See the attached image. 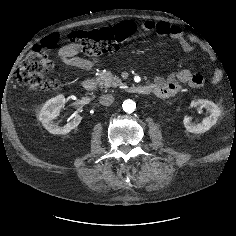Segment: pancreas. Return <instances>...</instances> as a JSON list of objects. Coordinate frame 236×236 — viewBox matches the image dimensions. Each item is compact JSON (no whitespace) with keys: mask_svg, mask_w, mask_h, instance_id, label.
Masks as SVG:
<instances>
[{"mask_svg":"<svg viewBox=\"0 0 236 236\" xmlns=\"http://www.w3.org/2000/svg\"><path fill=\"white\" fill-rule=\"evenodd\" d=\"M97 80L104 88L117 87L123 85L121 79L117 76H114L110 71L101 72Z\"/></svg>","mask_w":236,"mask_h":236,"instance_id":"cf45deb5","label":"pancreas"}]
</instances>
